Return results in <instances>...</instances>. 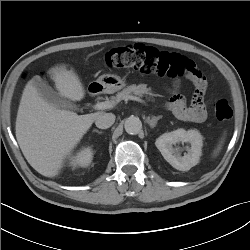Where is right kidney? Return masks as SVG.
Instances as JSON below:
<instances>
[{"instance_id":"ca27d5eb","label":"right kidney","mask_w":250,"mask_h":250,"mask_svg":"<svg viewBox=\"0 0 250 250\" xmlns=\"http://www.w3.org/2000/svg\"><path fill=\"white\" fill-rule=\"evenodd\" d=\"M93 158L91 148H83L75 156L71 157L70 165L75 167H87L90 165Z\"/></svg>"}]
</instances>
